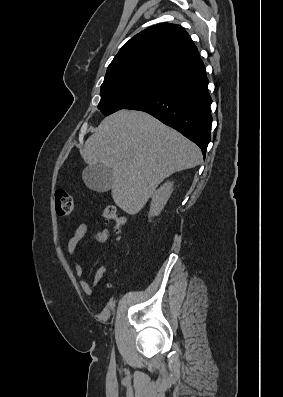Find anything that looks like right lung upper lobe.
Instances as JSON below:
<instances>
[{"mask_svg":"<svg viewBox=\"0 0 283 397\" xmlns=\"http://www.w3.org/2000/svg\"><path fill=\"white\" fill-rule=\"evenodd\" d=\"M202 68L204 63L185 29L161 23L126 42L108 66L105 77L144 73L169 82Z\"/></svg>","mask_w":283,"mask_h":397,"instance_id":"cb5924a9","label":"right lung upper lobe"}]
</instances>
